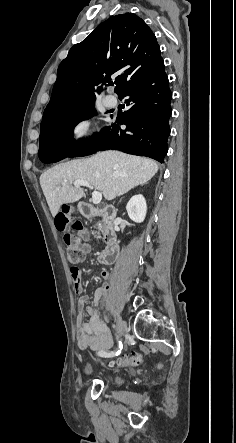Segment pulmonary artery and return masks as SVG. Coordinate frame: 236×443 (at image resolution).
Wrapping results in <instances>:
<instances>
[{"mask_svg": "<svg viewBox=\"0 0 236 443\" xmlns=\"http://www.w3.org/2000/svg\"><path fill=\"white\" fill-rule=\"evenodd\" d=\"M117 98L115 97V96H113V95H107L105 98H104V105L107 107V108H114V107H116L117 106Z\"/></svg>", "mask_w": 236, "mask_h": 443, "instance_id": "1", "label": "pulmonary artery"}]
</instances>
